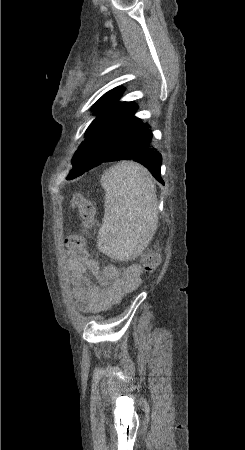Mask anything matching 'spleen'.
<instances>
[{
    "label": "spleen",
    "mask_w": 245,
    "mask_h": 450,
    "mask_svg": "<svg viewBox=\"0 0 245 450\" xmlns=\"http://www.w3.org/2000/svg\"><path fill=\"white\" fill-rule=\"evenodd\" d=\"M105 209L98 232V249L112 259L137 257L157 228L155 186L149 171L135 162H122L101 178Z\"/></svg>",
    "instance_id": "obj_1"
}]
</instances>
